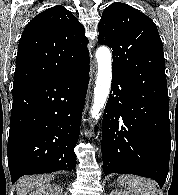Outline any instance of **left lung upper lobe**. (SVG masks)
Instances as JSON below:
<instances>
[{"instance_id": "1", "label": "left lung upper lobe", "mask_w": 178, "mask_h": 195, "mask_svg": "<svg viewBox=\"0 0 178 195\" xmlns=\"http://www.w3.org/2000/svg\"><path fill=\"white\" fill-rule=\"evenodd\" d=\"M98 31V42L112 49L113 75L168 97L163 45L149 17L127 4L113 3L103 11Z\"/></svg>"}]
</instances>
